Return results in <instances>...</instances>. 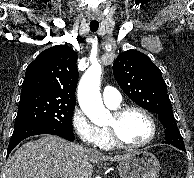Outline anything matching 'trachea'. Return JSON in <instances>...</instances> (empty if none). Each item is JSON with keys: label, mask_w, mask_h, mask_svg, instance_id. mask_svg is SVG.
Listing matches in <instances>:
<instances>
[{"label": "trachea", "mask_w": 194, "mask_h": 178, "mask_svg": "<svg viewBox=\"0 0 194 178\" xmlns=\"http://www.w3.org/2000/svg\"><path fill=\"white\" fill-rule=\"evenodd\" d=\"M99 28V23H90V30L96 32Z\"/></svg>", "instance_id": "trachea-1"}]
</instances>
